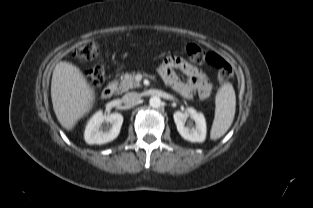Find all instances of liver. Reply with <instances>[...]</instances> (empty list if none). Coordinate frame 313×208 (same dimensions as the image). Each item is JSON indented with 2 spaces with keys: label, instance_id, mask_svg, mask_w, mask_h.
<instances>
[{
  "label": "liver",
  "instance_id": "6515ba94",
  "mask_svg": "<svg viewBox=\"0 0 313 208\" xmlns=\"http://www.w3.org/2000/svg\"><path fill=\"white\" fill-rule=\"evenodd\" d=\"M51 98L59 123L71 130L89 112L94 92L78 67L62 61L53 70Z\"/></svg>",
  "mask_w": 313,
  "mask_h": 208
}]
</instances>
